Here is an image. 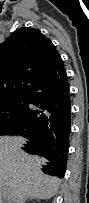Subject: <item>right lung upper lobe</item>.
<instances>
[{
	"label": "right lung upper lobe",
	"mask_w": 89,
	"mask_h": 203,
	"mask_svg": "<svg viewBox=\"0 0 89 203\" xmlns=\"http://www.w3.org/2000/svg\"><path fill=\"white\" fill-rule=\"evenodd\" d=\"M63 61L38 29L22 27L0 45V105L23 96Z\"/></svg>",
	"instance_id": "right-lung-upper-lobe-1"
}]
</instances>
